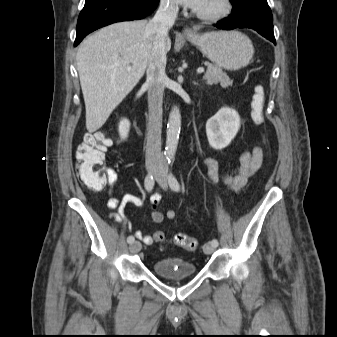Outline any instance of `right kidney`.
I'll return each mask as SVG.
<instances>
[{
  "instance_id": "obj_1",
  "label": "right kidney",
  "mask_w": 337,
  "mask_h": 337,
  "mask_svg": "<svg viewBox=\"0 0 337 337\" xmlns=\"http://www.w3.org/2000/svg\"><path fill=\"white\" fill-rule=\"evenodd\" d=\"M130 130V122L127 119H122L119 123V134L122 139H126L128 137V133Z\"/></svg>"
}]
</instances>
